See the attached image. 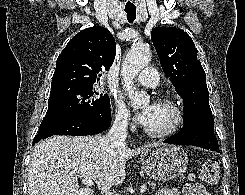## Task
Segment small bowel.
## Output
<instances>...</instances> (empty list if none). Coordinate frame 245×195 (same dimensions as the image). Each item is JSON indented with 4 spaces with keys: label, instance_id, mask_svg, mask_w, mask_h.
<instances>
[{
    "label": "small bowel",
    "instance_id": "c3829d8e",
    "mask_svg": "<svg viewBox=\"0 0 245 195\" xmlns=\"http://www.w3.org/2000/svg\"><path fill=\"white\" fill-rule=\"evenodd\" d=\"M156 195H179V192L174 188L164 187L161 188ZM197 195H209L206 188L199 185V191Z\"/></svg>",
    "mask_w": 245,
    "mask_h": 195
}]
</instances>
